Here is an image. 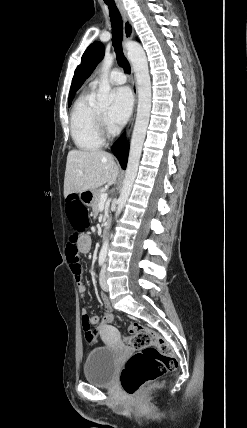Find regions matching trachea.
<instances>
[{
  "label": "trachea",
  "mask_w": 247,
  "mask_h": 428,
  "mask_svg": "<svg viewBox=\"0 0 247 428\" xmlns=\"http://www.w3.org/2000/svg\"><path fill=\"white\" fill-rule=\"evenodd\" d=\"M105 3L107 4L110 13V20L112 26V44L115 48L117 62L121 67H123L127 74H130L131 69L129 63L125 58V55L121 48V43L123 39V22L121 15L114 2Z\"/></svg>",
  "instance_id": "3493384b"
}]
</instances>
